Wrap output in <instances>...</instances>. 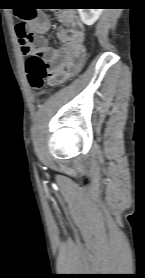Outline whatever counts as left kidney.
I'll use <instances>...</instances> for the list:
<instances>
[{
	"label": "left kidney",
	"instance_id": "5707ae66",
	"mask_svg": "<svg viewBox=\"0 0 145 278\" xmlns=\"http://www.w3.org/2000/svg\"><path fill=\"white\" fill-rule=\"evenodd\" d=\"M103 9H78L81 20L84 24L93 25L101 15Z\"/></svg>",
	"mask_w": 145,
	"mask_h": 278
}]
</instances>
